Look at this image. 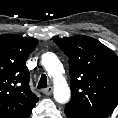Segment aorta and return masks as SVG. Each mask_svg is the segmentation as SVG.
Masks as SVG:
<instances>
[{
  "instance_id": "aorta-1",
  "label": "aorta",
  "mask_w": 118,
  "mask_h": 118,
  "mask_svg": "<svg viewBox=\"0 0 118 118\" xmlns=\"http://www.w3.org/2000/svg\"><path fill=\"white\" fill-rule=\"evenodd\" d=\"M41 62L48 75L53 78L54 99L60 104L67 103L70 100L71 91L63 76L64 70L62 63L54 53L43 54Z\"/></svg>"
}]
</instances>
